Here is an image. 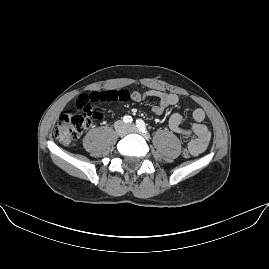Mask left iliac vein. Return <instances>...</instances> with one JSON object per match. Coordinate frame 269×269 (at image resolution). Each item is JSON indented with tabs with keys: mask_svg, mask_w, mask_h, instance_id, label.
Masks as SVG:
<instances>
[{
	"mask_svg": "<svg viewBox=\"0 0 269 269\" xmlns=\"http://www.w3.org/2000/svg\"><path fill=\"white\" fill-rule=\"evenodd\" d=\"M128 129H129L130 132H136L137 131V128H136L135 125L128 126Z\"/></svg>",
	"mask_w": 269,
	"mask_h": 269,
	"instance_id": "obj_1",
	"label": "left iliac vein"
}]
</instances>
